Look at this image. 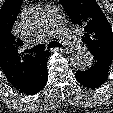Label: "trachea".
<instances>
[{
    "label": "trachea",
    "mask_w": 113,
    "mask_h": 113,
    "mask_svg": "<svg viewBox=\"0 0 113 113\" xmlns=\"http://www.w3.org/2000/svg\"><path fill=\"white\" fill-rule=\"evenodd\" d=\"M49 47H53V48H60L63 47L61 43L57 42V41H52L48 44ZM45 48V46L43 44H38L35 47H33L32 49L28 50L27 52L29 53H38L43 51Z\"/></svg>",
    "instance_id": "3493384b"
}]
</instances>
